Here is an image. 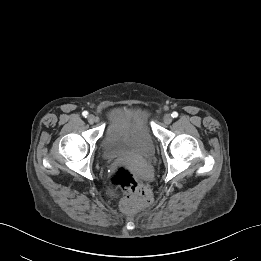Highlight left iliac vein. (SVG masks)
<instances>
[{
  "mask_svg": "<svg viewBox=\"0 0 261 261\" xmlns=\"http://www.w3.org/2000/svg\"><path fill=\"white\" fill-rule=\"evenodd\" d=\"M163 122L167 125L170 124L172 122V116L170 114H166L163 117Z\"/></svg>",
  "mask_w": 261,
  "mask_h": 261,
  "instance_id": "4c4485c4",
  "label": "left iliac vein"
}]
</instances>
